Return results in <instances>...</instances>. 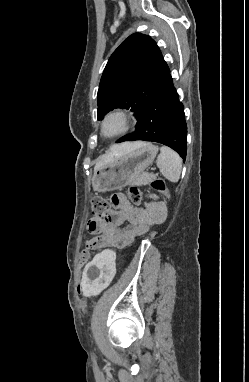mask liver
I'll return each instance as SVG.
<instances>
[{"label": "liver", "mask_w": 249, "mask_h": 382, "mask_svg": "<svg viewBox=\"0 0 249 382\" xmlns=\"http://www.w3.org/2000/svg\"><path fill=\"white\" fill-rule=\"evenodd\" d=\"M143 145V142H134V143H122L119 145H114L108 154H105L95 165L94 170H97L107 164L111 163L116 157L127 153L137 147Z\"/></svg>", "instance_id": "liver-1"}]
</instances>
